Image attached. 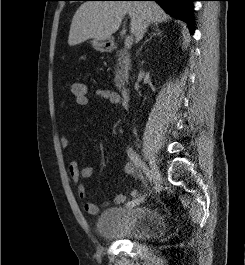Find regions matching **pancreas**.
I'll use <instances>...</instances> for the list:
<instances>
[{
    "mask_svg": "<svg viewBox=\"0 0 245 265\" xmlns=\"http://www.w3.org/2000/svg\"><path fill=\"white\" fill-rule=\"evenodd\" d=\"M116 56L118 59L115 65L114 82L117 89L121 90L128 79L131 61L129 55L125 51H118Z\"/></svg>",
    "mask_w": 245,
    "mask_h": 265,
    "instance_id": "pancreas-1",
    "label": "pancreas"
}]
</instances>
